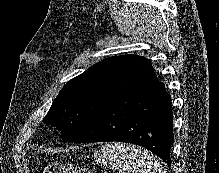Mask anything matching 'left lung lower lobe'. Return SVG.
Segmentation results:
<instances>
[{"instance_id":"1","label":"left lung lower lobe","mask_w":219,"mask_h":173,"mask_svg":"<svg viewBox=\"0 0 219 173\" xmlns=\"http://www.w3.org/2000/svg\"><path fill=\"white\" fill-rule=\"evenodd\" d=\"M172 119L171 96L147 61L138 78L108 103L74 142L133 143L151 150L170 167Z\"/></svg>"}]
</instances>
